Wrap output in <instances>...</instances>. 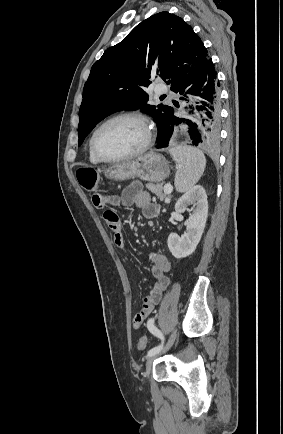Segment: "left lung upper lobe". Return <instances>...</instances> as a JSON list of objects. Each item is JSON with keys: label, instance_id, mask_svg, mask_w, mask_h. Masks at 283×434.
<instances>
[{"label": "left lung upper lobe", "instance_id": "1", "mask_svg": "<svg viewBox=\"0 0 283 434\" xmlns=\"http://www.w3.org/2000/svg\"><path fill=\"white\" fill-rule=\"evenodd\" d=\"M209 59L200 37L182 18L160 12L142 21L92 66L79 110L78 146L108 115L139 108L154 117L159 138L173 108L148 104L145 89L151 79L167 80L172 90Z\"/></svg>", "mask_w": 283, "mask_h": 434}]
</instances>
